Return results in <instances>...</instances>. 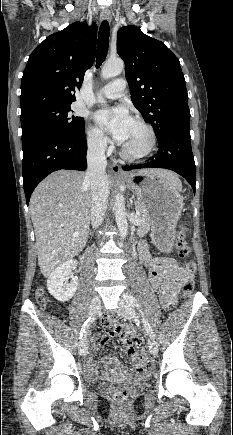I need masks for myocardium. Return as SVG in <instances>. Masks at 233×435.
Instances as JSON below:
<instances>
[{
	"instance_id": "f54148a6",
	"label": "myocardium",
	"mask_w": 233,
	"mask_h": 435,
	"mask_svg": "<svg viewBox=\"0 0 233 435\" xmlns=\"http://www.w3.org/2000/svg\"><path fill=\"white\" fill-rule=\"evenodd\" d=\"M133 122H135V123H137L145 128V130L147 131L148 136H149V142H148L146 148L139 153H130L123 146H121L120 155L124 159L129 160V161L142 160V159L149 157L152 154V152L154 151V149L156 147V141H157L156 133H155L153 127L148 122H146L144 119L138 118V117L134 118Z\"/></svg>"
}]
</instances>
